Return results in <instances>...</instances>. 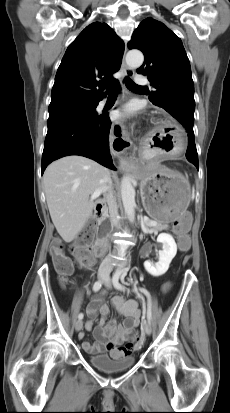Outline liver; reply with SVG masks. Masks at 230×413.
<instances>
[{
	"instance_id": "liver-1",
	"label": "liver",
	"mask_w": 230,
	"mask_h": 413,
	"mask_svg": "<svg viewBox=\"0 0 230 413\" xmlns=\"http://www.w3.org/2000/svg\"><path fill=\"white\" fill-rule=\"evenodd\" d=\"M109 170L92 159L71 155L52 162L43 176L52 222L65 242H71L91 217L95 206L89 196L102 187Z\"/></svg>"
}]
</instances>
